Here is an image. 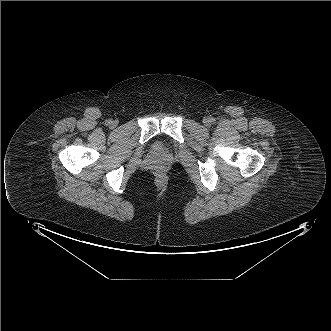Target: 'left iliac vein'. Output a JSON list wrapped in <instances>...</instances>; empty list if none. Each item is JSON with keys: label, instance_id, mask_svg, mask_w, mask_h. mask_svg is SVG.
<instances>
[{"label": "left iliac vein", "instance_id": "4c4485c4", "mask_svg": "<svg viewBox=\"0 0 331 331\" xmlns=\"http://www.w3.org/2000/svg\"><path fill=\"white\" fill-rule=\"evenodd\" d=\"M203 123H204V125H205L206 127H208V126H210V124H211V120L208 119V118H206V119H204Z\"/></svg>", "mask_w": 331, "mask_h": 331}]
</instances>
